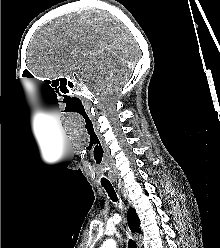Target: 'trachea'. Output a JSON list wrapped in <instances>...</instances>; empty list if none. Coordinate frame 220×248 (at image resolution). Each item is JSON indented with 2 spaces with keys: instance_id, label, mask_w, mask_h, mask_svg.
<instances>
[{
  "instance_id": "obj_1",
  "label": "trachea",
  "mask_w": 220,
  "mask_h": 248,
  "mask_svg": "<svg viewBox=\"0 0 220 248\" xmlns=\"http://www.w3.org/2000/svg\"><path fill=\"white\" fill-rule=\"evenodd\" d=\"M102 186L104 187V189L108 193V196L110 197L111 200H113L114 202L118 201L116 192H115L112 184H110V183H107V184L102 183ZM128 248H137V245H136L134 240H132V239L129 240Z\"/></svg>"
}]
</instances>
